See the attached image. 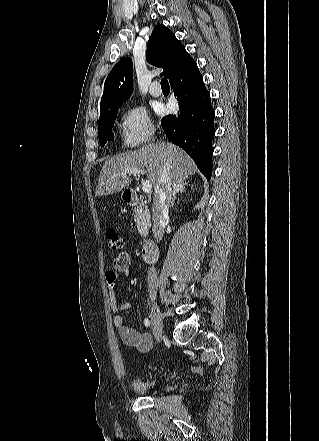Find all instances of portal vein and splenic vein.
<instances>
[{"mask_svg": "<svg viewBox=\"0 0 319 441\" xmlns=\"http://www.w3.org/2000/svg\"><path fill=\"white\" fill-rule=\"evenodd\" d=\"M125 174H144V170L141 168H130V169H125ZM115 176L121 175V173H114ZM152 189V184L150 180H144L142 182V191L143 192H150Z\"/></svg>", "mask_w": 319, "mask_h": 441, "instance_id": "18ae733b", "label": "portal vein and splenic vein"}]
</instances>
